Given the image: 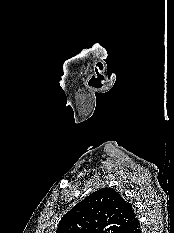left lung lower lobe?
<instances>
[{
  "label": "left lung lower lobe",
  "instance_id": "0a47b994",
  "mask_svg": "<svg viewBox=\"0 0 174 233\" xmlns=\"http://www.w3.org/2000/svg\"><path fill=\"white\" fill-rule=\"evenodd\" d=\"M120 233H142L140 222L137 217L125 225Z\"/></svg>",
  "mask_w": 174,
  "mask_h": 233
}]
</instances>
